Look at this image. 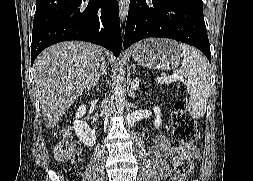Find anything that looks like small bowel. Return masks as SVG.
<instances>
[{
  "instance_id": "small-bowel-1",
  "label": "small bowel",
  "mask_w": 253,
  "mask_h": 181,
  "mask_svg": "<svg viewBox=\"0 0 253 181\" xmlns=\"http://www.w3.org/2000/svg\"><path fill=\"white\" fill-rule=\"evenodd\" d=\"M150 156L159 176L167 178L171 173L172 166L176 165L178 160L187 153V150L180 145L172 144L166 137L160 136L150 147ZM189 153L197 157L199 152L193 148Z\"/></svg>"
}]
</instances>
